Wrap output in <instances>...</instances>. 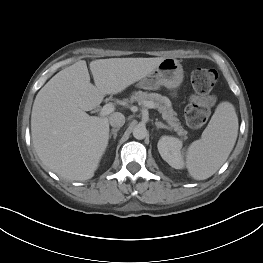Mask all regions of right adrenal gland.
I'll use <instances>...</instances> for the list:
<instances>
[{"label":"right adrenal gland","mask_w":263,"mask_h":263,"mask_svg":"<svg viewBox=\"0 0 263 263\" xmlns=\"http://www.w3.org/2000/svg\"><path fill=\"white\" fill-rule=\"evenodd\" d=\"M119 129H120V128H113V129L111 130V133H110V135H109V138H111V137L113 136V138H114V140H115L116 137H117V132L119 131Z\"/></svg>","instance_id":"right-adrenal-gland-1"}]
</instances>
